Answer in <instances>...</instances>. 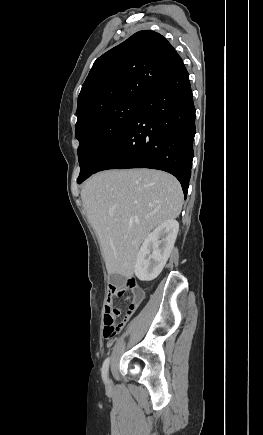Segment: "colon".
Here are the masks:
<instances>
[{"label":"colon","mask_w":263,"mask_h":435,"mask_svg":"<svg viewBox=\"0 0 263 435\" xmlns=\"http://www.w3.org/2000/svg\"><path fill=\"white\" fill-rule=\"evenodd\" d=\"M126 290L131 292L132 303L128 312L130 316L136 309L138 302L143 296L142 290L137 286L134 279H128L122 285H112L110 286V293L112 296L120 297L124 294ZM119 314V310L112 308L104 314V336L106 338L114 337L122 327V324H116L115 319Z\"/></svg>","instance_id":"5ec220e1"}]
</instances>
